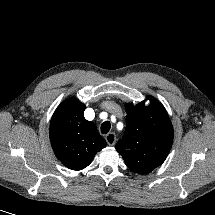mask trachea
Listing matches in <instances>:
<instances>
[{"label":"trachea","instance_id":"trachea-1","mask_svg":"<svg viewBox=\"0 0 215 215\" xmlns=\"http://www.w3.org/2000/svg\"><path fill=\"white\" fill-rule=\"evenodd\" d=\"M111 124L109 121H105L101 125V133L107 134L110 130Z\"/></svg>","mask_w":215,"mask_h":215}]
</instances>
